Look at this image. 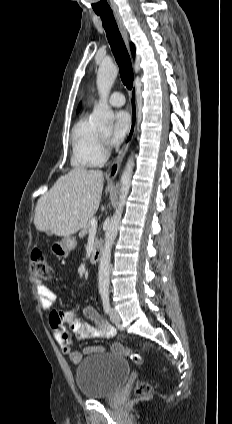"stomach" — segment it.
Returning <instances> with one entry per match:
<instances>
[{
    "instance_id": "obj_1",
    "label": "stomach",
    "mask_w": 232,
    "mask_h": 424,
    "mask_svg": "<svg viewBox=\"0 0 232 424\" xmlns=\"http://www.w3.org/2000/svg\"><path fill=\"white\" fill-rule=\"evenodd\" d=\"M77 245L76 238L73 236H66L60 241H56L50 247V251L57 257H66L75 249Z\"/></svg>"
}]
</instances>
